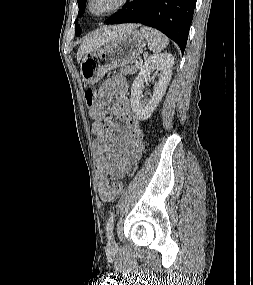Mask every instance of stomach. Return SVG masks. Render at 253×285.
Here are the masks:
<instances>
[{
  "instance_id": "stomach-1",
  "label": "stomach",
  "mask_w": 253,
  "mask_h": 285,
  "mask_svg": "<svg viewBox=\"0 0 253 285\" xmlns=\"http://www.w3.org/2000/svg\"><path fill=\"white\" fill-rule=\"evenodd\" d=\"M145 46L143 34L132 30L116 37L103 48L86 54L80 63V74L84 83L94 84L108 71L133 62Z\"/></svg>"
}]
</instances>
